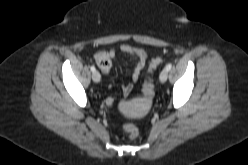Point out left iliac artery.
<instances>
[{
    "label": "left iliac artery",
    "mask_w": 248,
    "mask_h": 165,
    "mask_svg": "<svg viewBox=\"0 0 248 165\" xmlns=\"http://www.w3.org/2000/svg\"><path fill=\"white\" fill-rule=\"evenodd\" d=\"M172 68L171 64L166 65V70L169 71Z\"/></svg>",
    "instance_id": "obj_1"
}]
</instances>
